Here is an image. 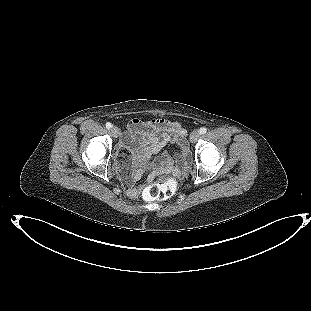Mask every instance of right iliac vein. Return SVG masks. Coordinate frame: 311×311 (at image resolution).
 I'll return each instance as SVG.
<instances>
[{
  "mask_svg": "<svg viewBox=\"0 0 311 311\" xmlns=\"http://www.w3.org/2000/svg\"><path fill=\"white\" fill-rule=\"evenodd\" d=\"M111 134H112V136H113L114 138H117V137L119 136V134H120L118 127L113 126V127L111 128Z\"/></svg>",
  "mask_w": 311,
  "mask_h": 311,
  "instance_id": "63e3f726",
  "label": "right iliac vein"
}]
</instances>
